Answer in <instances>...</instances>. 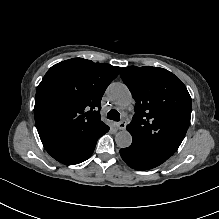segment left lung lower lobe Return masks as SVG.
<instances>
[{
	"instance_id": "obj_1",
	"label": "left lung lower lobe",
	"mask_w": 219,
	"mask_h": 219,
	"mask_svg": "<svg viewBox=\"0 0 219 219\" xmlns=\"http://www.w3.org/2000/svg\"><path fill=\"white\" fill-rule=\"evenodd\" d=\"M120 155L128 166L141 171L155 168L168 159L135 140L129 147L120 149Z\"/></svg>"
}]
</instances>
